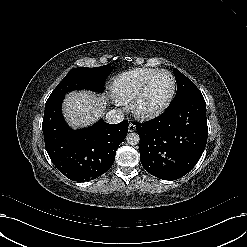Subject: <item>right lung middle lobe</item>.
<instances>
[{
    "instance_id": "1",
    "label": "right lung middle lobe",
    "mask_w": 247,
    "mask_h": 247,
    "mask_svg": "<svg viewBox=\"0 0 247 247\" xmlns=\"http://www.w3.org/2000/svg\"><path fill=\"white\" fill-rule=\"evenodd\" d=\"M113 68L114 66L111 65L95 68H74L57 85L48 99L63 97L66 93L79 89L102 92L105 80Z\"/></svg>"
}]
</instances>
